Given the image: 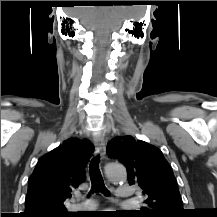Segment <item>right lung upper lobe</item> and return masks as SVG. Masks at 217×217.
<instances>
[{
	"label": "right lung upper lobe",
	"mask_w": 217,
	"mask_h": 217,
	"mask_svg": "<svg viewBox=\"0 0 217 217\" xmlns=\"http://www.w3.org/2000/svg\"><path fill=\"white\" fill-rule=\"evenodd\" d=\"M93 150L87 139L70 138L44 155L29 178L22 216H73L67 212L64 201L84 182V167Z\"/></svg>",
	"instance_id": "right-lung-upper-lobe-1"
}]
</instances>
